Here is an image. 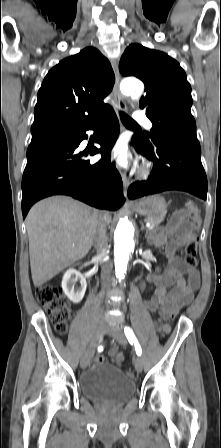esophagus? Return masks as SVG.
I'll return each instance as SVG.
<instances>
[{
	"label": "esophagus",
	"mask_w": 221,
	"mask_h": 448,
	"mask_svg": "<svg viewBox=\"0 0 221 448\" xmlns=\"http://www.w3.org/2000/svg\"><path fill=\"white\" fill-rule=\"evenodd\" d=\"M111 64H112V68H113V71L115 74V84L113 87V95L115 98L114 108H115V111L118 113L119 111H125L127 109V107H126V103H125V101L122 97V94L120 92V89H119L120 74H119L117 62L114 59H112ZM122 180H123V185H124V195H126V192H127L130 182L125 173L122 174ZM126 203H130V201L127 200Z\"/></svg>",
	"instance_id": "esophagus-1"
}]
</instances>
